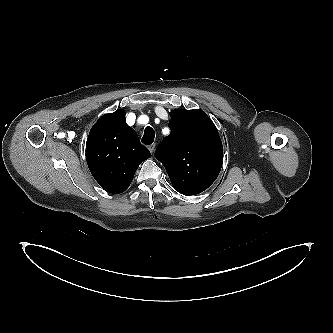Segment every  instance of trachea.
<instances>
[{
  "mask_svg": "<svg viewBox=\"0 0 333 333\" xmlns=\"http://www.w3.org/2000/svg\"><path fill=\"white\" fill-rule=\"evenodd\" d=\"M154 137H155L154 130L150 126H147L144 130V135L141 141L146 145H150L153 143Z\"/></svg>",
  "mask_w": 333,
  "mask_h": 333,
  "instance_id": "1",
  "label": "trachea"
}]
</instances>
